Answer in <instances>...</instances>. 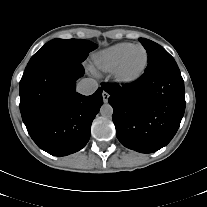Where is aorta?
Segmentation results:
<instances>
[{
	"instance_id": "762f6f07",
	"label": "aorta",
	"mask_w": 207,
	"mask_h": 207,
	"mask_svg": "<svg viewBox=\"0 0 207 207\" xmlns=\"http://www.w3.org/2000/svg\"><path fill=\"white\" fill-rule=\"evenodd\" d=\"M100 114L103 117H111L113 114V108L110 104H104L100 108Z\"/></svg>"
}]
</instances>
